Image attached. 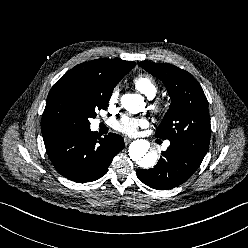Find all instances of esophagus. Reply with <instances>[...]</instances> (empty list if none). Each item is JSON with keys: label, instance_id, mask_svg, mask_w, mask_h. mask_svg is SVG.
Masks as SVG:
<instances>
[{"label": "esophagus", "instance_id": "esophagus-1", "mask_svg": "<svg viewBox=\"0 0 248 248\" xmlns=\"http://www.w3.org/2000/svg\"><path fill=\"white\" fill-rule=\"evenodd\" d=\"M124 142H125V144L127 145V144H129V143L131 142V139H130V138H127V137H125V138H124Z\"/></svg>", "mask_w": 248, "mask_h": 248}]
</instances>
